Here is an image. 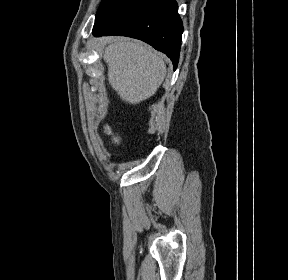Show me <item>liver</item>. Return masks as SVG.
Masks as SVG:
<instances>
[{
  "label": "liver",
  "mask_w": 288,
  "mask_h": 280,
  "mask_svg": "<svg viewBox=\"0 0 288 280\" xmlns=\"http://www.w3.org/2000/svg\"><path fill=\"white\" fill-rule=\"evenodd\" d=\"M103 59L110 85L130 104L153 96L166 76L163 59L138 41H115L106 47Z\"/></svg>",
  "instance_id": "6515ba94"
}]
</instances>
